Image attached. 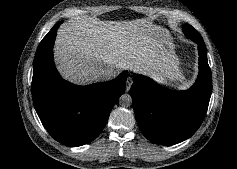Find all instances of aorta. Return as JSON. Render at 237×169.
Listing matches in <instances>:
<instances>
[{
    "label": "aorta",
    "instance_id": "obj_1",
    "mask_svg": "<svg viewBox=\"0 0 237 169\" xmlns=\"http://www.w3.org/2000/svg\"><path fill=\"white\" fill-rule=\"evenodd\" d=\"M119 104L123 107H129L132 104V98L129 94H123L119 98Z\"/></svg>",
    "mask_w": 237,
    "mask_h": 169
}]
</instances>
